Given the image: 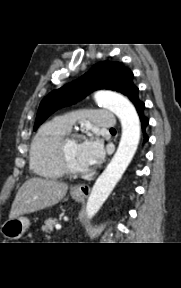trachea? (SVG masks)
I'll return each mask as SVG.
<instances>
[{
    "instance_id": "trachea-1",
    "label": "trachea",
    "mask_w": 181,
    "mask_h": 288,
    "mask_svg": "<svg viewBox=\"0 0 181 288\" xmlns=\"http://www.w3.org/2000/svg\"><path fill=\"white\" fill-rule=\"evenodd\" d=\"M110 130H111V131H115V129H114V128H111Z\"/></svg>"
}]
</instances>
